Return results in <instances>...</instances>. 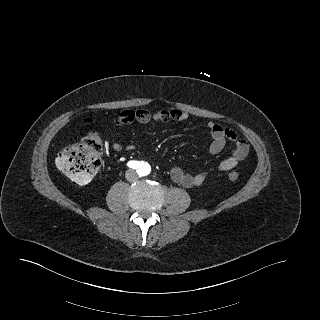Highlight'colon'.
Here are the masks:
<instances>
[{"mask_svg": "<svg viewBox=\"0 0 320 320\" xmlns=\"http://www.w3.org/2000/svg\"><path fill=\"white\" fill-rule=\"evenodd\" d=\"M103 155V145L96 132H89L79 143L65 147L56 158L57 167L76 184H86L97 172ZM239 174L231 171L228 178L237 180Z\"/></svg>", "mask_w": 320, "mask_h": 320, "instance_id": "colon-1", "label": "colon"}]
</instances>
